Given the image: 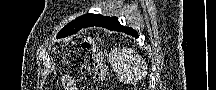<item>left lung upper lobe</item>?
Listing matches in <instances>:
<instances>
[{
	"label": "left lung upper lobe",
	"instance_id": "obj_1",
	"mask_svg": "<svg viewBox=\"0 0 216 90\" xmlns=\"http://www.w3.org/2000/svg\"><path fill=\"white\" fill-rule=\"evenodd\" d=\"M105 17L99 14H85L67 24L57 35V38L66 37L78 32L82 28L89 27Z\"/></svg>",
	"mask_w": 216,
	"mask_h": 90
}]
</instances>
